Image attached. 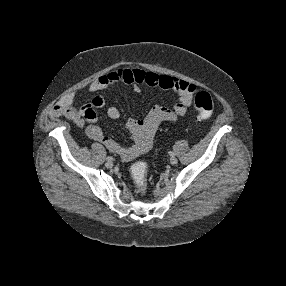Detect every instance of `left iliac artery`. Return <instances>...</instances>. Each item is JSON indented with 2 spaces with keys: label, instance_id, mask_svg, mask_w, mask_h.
<instances>
[{
  "label": "left iliac artery",
  "instance_id": "left-iliac-artery-1",
  "mask_svg": "<svg viewBox=\"0 0 286 286\" xmlns=\"http://www.w3.org/2000/svg\"><path fill=\"white\" fill-rule=\"evenodd\" d=\"M169 154L173 157L175 154H174V152H169Z\"/></svg>",
  "mask_w": 286,
  "mask_h": 286
}]
</instances>
